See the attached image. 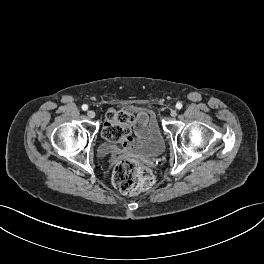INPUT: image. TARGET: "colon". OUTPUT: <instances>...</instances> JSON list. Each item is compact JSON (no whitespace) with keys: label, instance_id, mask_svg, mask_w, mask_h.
Returning a JSON list of instances; mask_svg holds the SVG:
<instances>
[{"label":"colon","instance_id":"obj_1","mask_svg":"<svg viewBox=\"0 0 264 264\" xmlns=\"http://www.w3.org/2000/svg\"><path fill=\"white\" fill-rule=\"evenodd\" d=\"M108 125L103 135L111 141H121L130 130L133 115L129 110L110 111L107 114ZM112 181L122 193L133 194L151 188L155 179L152 172L140 162L123 158L113 168Z\"/></svg>","mask_w":264,"mask_h":264}]
</instances>
